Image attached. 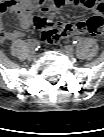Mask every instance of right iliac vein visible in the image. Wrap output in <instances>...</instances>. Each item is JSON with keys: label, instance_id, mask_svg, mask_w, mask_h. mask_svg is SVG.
Here are the masks:
<instances>
[{"label": "right iliac vein", "instance_id": "obj_1", "mask_svg": "<svg viewBox=\"0 0 104 137\" xmlns=\"http://www.w3.org/2000/svg\"><path fill=\"white\" fill-rule=\"evenodd\" d=\"M36 57H37L36 52H32V53L29 55V60H34V59H36Z\"/></svg>", "mask_w": 104, "mask_h": 137}]
</instances>
